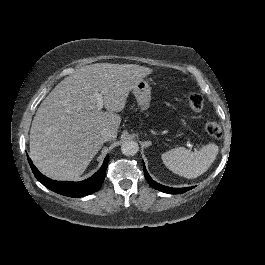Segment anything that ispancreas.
<instances>
[{
    "mask_svg": "<svg viewBox=\"0 0 265 265\" xmlns=\"http://www.w3.org/2000/svg\"><path fill=\"white\" fill-rule=\"evenodd\" d=\"M141 112H142V111H141ZM145 116H146V117H149V112L145 113Z\"/></svg>",
    "mask_w": 265,
    "mask_h": 265,
    "instance_id": "obj_1",
    "label": "pancreas"
}]
</instances>
